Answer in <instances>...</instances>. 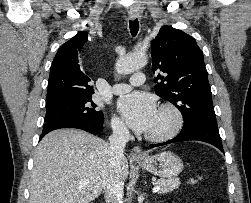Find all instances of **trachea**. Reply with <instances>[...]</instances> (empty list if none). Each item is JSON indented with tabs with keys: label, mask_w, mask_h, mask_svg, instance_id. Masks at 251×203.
<instances>
[{
	"label": "trachea",
	"mask_w": 251,
	"mask_h": 203,
	"mask_svg": "<svg viewBox=\"0 0 251 203\" xmlns=\"http://www.w3.org/2000/svg\"><path fill=\"white\" fill-rule=\"evenodd\" d=\"M129 28L132 36H136L139 30V22L137 19L129 21Z\"/></svg>",
	"instance_id": "obj_1"
}]
</instances>
